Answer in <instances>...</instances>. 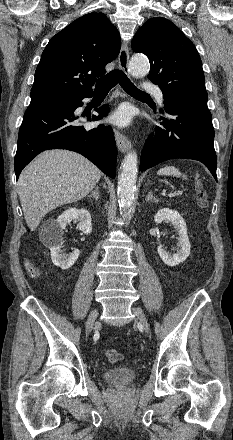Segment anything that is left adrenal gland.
Here are the masks:
<instances>
[{
    "label": "left adrenal gland",
    "mask_w": 233,
    "mask_h": 440,
    "mask_svg": "<svg viewBox=\"0 0 233 440\" xmlns=\"http://www.w3.org/2000/svg\"><path fill=\"white\" fill-rule=\"evenodd\" d=\"M145 200L146 201H151V202H154V203H158L159 202V200L153 196V193L151 191L148 192V195L146 196Z\"/></svg>",
    "instance_id": "1"
}]
</instances>
